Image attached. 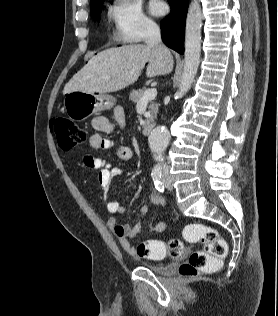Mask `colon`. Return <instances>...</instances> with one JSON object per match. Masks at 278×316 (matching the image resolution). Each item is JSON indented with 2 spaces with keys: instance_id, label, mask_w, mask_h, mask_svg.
Here are the masks:
<instances>
[{
  "instance_id": "colon-1",
  "label": "colon",
  "mask_w": 278,
  "mask_h": 316,
  "mask_svg": "<svg viewBox=\"0 0 278 316\" xmlns=\"http://www.w3.org/2000/svg\"><path fill=\"white\" fill-rule=\"evenodd\" d=\"M58 146L67 151L81 145L87 140L86 131L66 118H56L53 123ZM184 238L189 242H201L202 248L190 254L180 266L179 274L192 278L200 274L217 271L227 254V245L218 231L210 226L192 223L185 226ZM183 243L179 239L168 242L147 240L140 243L137 253L141 257L160 259L166 256L177 258L183 253Z\"/></svg>"
}]
</instances>
